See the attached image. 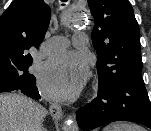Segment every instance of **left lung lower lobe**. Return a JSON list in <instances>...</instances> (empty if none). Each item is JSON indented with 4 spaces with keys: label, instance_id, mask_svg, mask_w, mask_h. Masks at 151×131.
<instances>
[{
    "label": "left lung lower lobe",
    "instance_id": "0a47b994",
    "mask_svg": "<svg viewBox=\"0 0 151 131\" xmlns=\"http://www.w3.org/2000/svg\"><path fill=\"white\" fill-rule=\"evenodd\" d=\"M82 130H92L114 121L137 122L151 129V103L141 77L135 71L108 88L99 89L98 96L77 111Z\"/></svg>",
    "mask_w": 151,
    "mask_h": 131
}]
</instances>
